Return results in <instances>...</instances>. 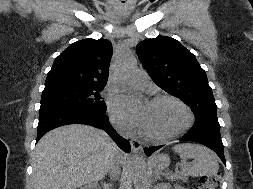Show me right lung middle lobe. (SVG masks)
<instances>
[{
	"label": "right lung middle lobe",
	"mask_w": 253,
	"mask_h": 189,
	"mask_svg": "<svg viewBox=\"0 0 253 189\" xmlns=\"http://www.w3.org/2000/svg\"><path fill=\"white\" fill-rule=\"evenodd\" d=\"M104 87L60 86L44 89L41 108L62 106L105 113L107 108L99 92Z\"/></svg>",
	"instance_id": "1"
}]
</instances>
